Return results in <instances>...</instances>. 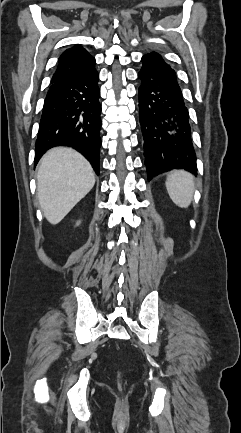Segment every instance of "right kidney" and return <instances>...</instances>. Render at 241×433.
Returning a JSON list of instances; mask_svg holds the SVG:
<instances>
[{"label": "right kidney", "instance_id": "right-kidney-1", "mask_svg": "<svg viewBox=\"0 0 241 433\" xmlns=\"http://www.w3.org/2000/svg\"><path fill=\"white\" fill-rule=\"evenodd\" d=\"M80 224V221L79 222H77V225H79Z\"/></svg>", "mask_w": 241, "mask_h": 433}]
</instances>
